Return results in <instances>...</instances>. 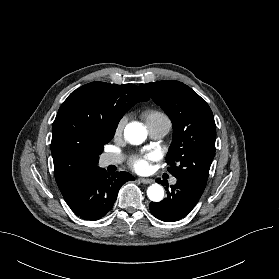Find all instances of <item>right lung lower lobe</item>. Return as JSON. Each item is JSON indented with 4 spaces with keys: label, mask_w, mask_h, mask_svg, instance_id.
<instances>
[{
    "label": "right lung lower lobe",
    "mask_w": 279,
    "mask_h": 279,
    "mask_svg": "<svg viewBox=\"0 0 279 279\" xmlns=\"http://www.w3.org/2000/svg\"><path fill=\"white\" fill-rule=\"evenodd\" d=\"M134 177L127 172L110 176L98 166L90 169L70 199L66 200L71 210L85 220H98L112 208L120 187Z\"/></svg>",
    "instance_id": "obj_1"
}]
</instances>
